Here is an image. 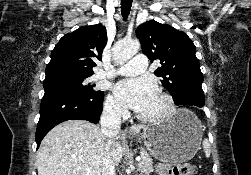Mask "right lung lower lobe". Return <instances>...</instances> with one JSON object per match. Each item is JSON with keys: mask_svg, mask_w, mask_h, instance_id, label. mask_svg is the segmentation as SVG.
Returning a JSON list of instances; mask_svg holds the SVG:
<instances>
[{"mask_svg": "<svg viewBox=\"0 0 251 175\" xmlns=\"http://www.w3.org/2000/svg\"><path fill=\"white\" fill-rule=\"evenodd\" d=\"M44 90L36 130L37 149L44 136L61 122L67 120L99 122L104 98L103 92L95 91L92 94H84L61 86H52Z\"/></svg>", "mask_w": 251, "mask_h": 175, "instance_id": "right-lung-lower-lobe-1", "label": "right lung lower lobe"}]
</instances>
